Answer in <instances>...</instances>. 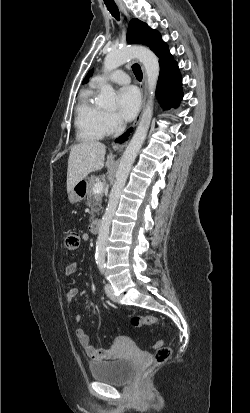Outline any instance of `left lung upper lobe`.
Instances as JSON below:
<instances>
[{
    "label": "left lung upper lobe",
    "mask_w": 250,
    "mask_h": 413,
    "mask_svg": "<svg viewBox=\"0 0 250 413\" xmlns=\"http://www.w3.org/2000/svg\"><path fill=\"white\" fill-rule=\"evenodd\" d=\"M128 43H141L149 46L152 51H160L166 47L158 31L151 29L146 23L132 19L127 31Z\"/></svg>",
    "instance_id": "5c2ea615"
}]
</instances>
